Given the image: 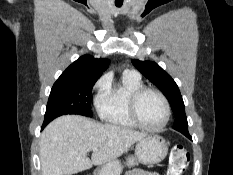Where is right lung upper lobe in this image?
I'll return each mask as SVG.
<instances>
[{
  "mask_svg": "<svg viewBox=\"0 0 233 175\" xmlns=\"http://www.w3.org/2000/svg\"><path fill=\"white\" fill-rule=\"evenodd\" d=\"M109 64L108 59H95L89 55L81 56L61 74L56 82L98 79Z\"/></svg>",
  "mask_w": 233,
  "mask_h": 175,
  "instance_id": "obj_1",
  "label": "right lung upper lobe"
}]
</instances>
